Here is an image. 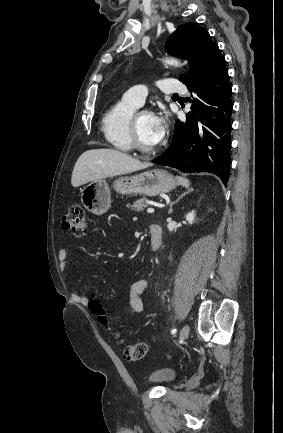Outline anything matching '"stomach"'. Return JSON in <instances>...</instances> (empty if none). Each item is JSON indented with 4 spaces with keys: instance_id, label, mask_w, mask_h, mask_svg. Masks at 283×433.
I'll return each mask as SVG.
<instances>
[{
    "instance_id": "obj_1",
    "label": "stomach",
    "mask_w": 283,
    "mask_h": 433,
    "mask_svg": "<svg viewBox=\"0 0 283 433\" xmlns=\"http://www.w3.org/2000/svg\"><path fill=\"white\" fill-rule=\"evenodd\" d=\"M178 182L172 174L162 168L146 170L141 174L133 176H120L114 180L113 186L120 194H146V196H156L160 192H170L177 186ZM81 200L90 212L103 214L110 206L111 192L108 182L103 178L91 180L82 190Z\"/></svg>"
}]
</instances>
